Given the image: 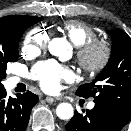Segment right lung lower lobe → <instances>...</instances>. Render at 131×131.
<instances>
[{"instance_id": "1", "label": "right lung lower lobe", "mask_w": 131, "mask_h": 131, "mask_svg": "<svg viewBox=\"0 0 131 131\" xmlns=\"http://www.w3.org/2000/svg\"><path fill=\"white\" fill-rule=\"evenodd\" d=\"M37 102L38 96L30 91L12 98L7 97L4 87L0 88V131H24Z\"/></svg>"}]
</instances>
